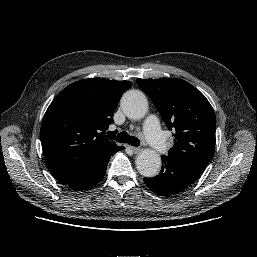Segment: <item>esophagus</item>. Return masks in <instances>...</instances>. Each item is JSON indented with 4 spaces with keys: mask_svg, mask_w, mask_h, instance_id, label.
Wrapping results in <instances>:
<instances>
[{
    "mask_svg": "<svg viewBox=\"0 0 257 257\" xmlns=\"http://www.w3.org/2000/svg\"><path fill=\"white\" fill-rule=\"evenodd\" d=\"M130 148H131V150H132L135 154H137V153H139V152L141 151V148H140V147H133V146H131Z\"/></svg>",
    "mask_w": 257,
    "mask_h": 257,
    "instance_id": "obj_1",
    "label": "esophagus"
}]
</instances>
